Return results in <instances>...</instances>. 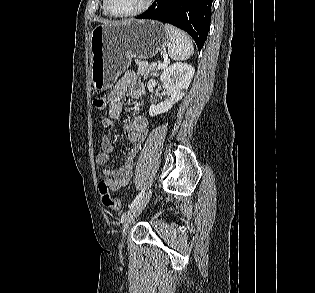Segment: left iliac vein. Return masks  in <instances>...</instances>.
I'll use <instances>...</instances> for the list:
<instances>
[{
  "mask_svg": "<svg viewBox=\"0 0 315 293\" xmlns=\"http://www.w3.org/2000/svg\"><path fill=\"white\" fill-rule=\"evenodd\" d=\"M151 197V192H148L134 207L130 208L129 211H127L123 218H122V237L124 238L126 236L127 229L131 225V223L134 221V219L139 216V214L142 212V210L145 208L147 203L149 202V199Z\"/></svg>",
  "mask_w": 315,
  "mask_h": 293,
  "instance_id": "4c4485c4",
  "label": "left iliac vein"
}]
</instances>
